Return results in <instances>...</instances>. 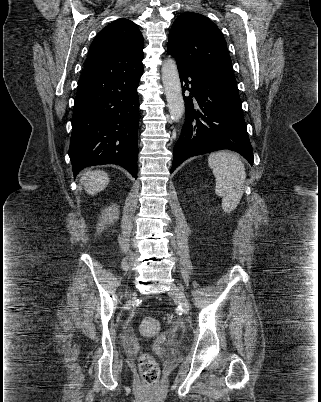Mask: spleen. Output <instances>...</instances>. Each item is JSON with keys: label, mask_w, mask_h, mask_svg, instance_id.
Listing matches in <instances>:
<instances>
[{"label": "spleen", "mask_w": 321, "mask_h": 402, "mask_svg": "<svg viewBox=\"0 0 321 402\" xmlns=\"http://www.w3.org/2000/svg\"><path fill=\"white\" fill-rule=\"evenodd\" d=\"M208 164L216 179L215 193L222 197V208L231 212L243 195L246 179L244 164L236 154L227 151L211 153Z\"/></svg>", "instance_id": "3e777b00"}]
</instances>
